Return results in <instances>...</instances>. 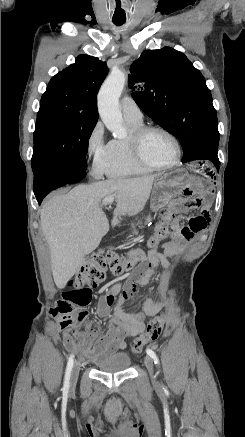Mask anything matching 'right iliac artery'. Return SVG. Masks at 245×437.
Masks as SVG:
<instances>
[{"instance_id": "right-iliac-artery-1", "label": "right iliac artery", "mask_w": 245, "mask_h": 437, "mask_svg": "<svg viewBox=\"0 0 245 437\" xmlns=\"http://www.w3.org/2000/svg\"><path fill=\"white\" fill-rule=\"evenodd\" d=\"M73 363H74V356L71 355L68 359V363H67V368H66V372H65V379H64V385H63V392L67 393L69 390V381H70V375H71V371L73 368Z\"/></svg>"}]
</instances>
